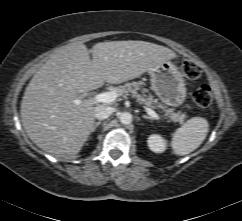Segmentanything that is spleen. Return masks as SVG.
<instances>
[{
    "label": "spleen",
    "mask_w": 242,
    "mask_h": 221,
    "mask_svg": "<svg viewBox=\"0 0 242 221\" xmlns=\"http://www.w3.org/2000/svg\"><path fill=\"white\" fill-rule=\"evenodd\" d=\"M208 131L209 124L205 118L189 119L172 136L174 154L184 156L196 150L205 140Z\"/></svg>",
    "instance_id": "obj_1"
}]
</instances>
